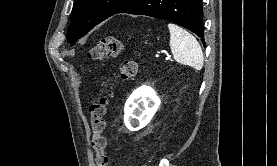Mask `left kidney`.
Masks as SVG:
<instances>
[{
  "instance_id": "5707ae66",
  "label": "left kidney",
  "mask_w": 277,
  "mask_h": 166,
  "mask_svg": "<svg viewBox=\"0 0 277 166\" xmlns=\"http://www.w3.org/2000/svg\"><path fill=\"white\" fill-rule=\"evenodd\" d=\"M161 103L156 92L149 86L136 89L124 107V123L128 130L138 131L152 119Z\"/></svg>"
}]
</instances>
